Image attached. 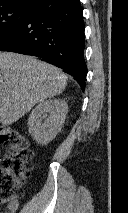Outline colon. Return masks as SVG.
Listing matches in <instances>:
<instances>
[{"mask_svg":"<svg viewBox=\"0 0 128 213\" xmlns=\"http://www.w3.org/2000/svg\"><path fill=\"white\" fill-rule=\"evenodd\" d=\"M0 144L7 154L0 163V204L22 196V185L30 175L33 151L27 139L16 129L0 124Z\"/></svg>","mask_w":128,"mask_h":213,"instance_id":"colon-1","label":"colon"}]
</instances>
